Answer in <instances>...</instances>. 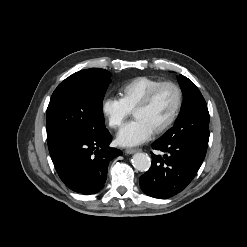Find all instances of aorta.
I'll list each match as a JSON object with an SVG mask.
<instances>
[{
	"instance_id": "obj_1",
	"label": "aorta",
	"mask_w": 247,
	"mask_h": 247,
	"mask_svg": "<svg viewBox=\"0 0 247 247\" xmlns=\"http://www.w3.org/2000/svg\"><path fill=\"white\" fill-rule=\"evenodd\" d=\"M132 165L138 171L145 172L149 170L151 166V159L145 153H136L133 155Z\"/></svg>"
}]
</instances>
